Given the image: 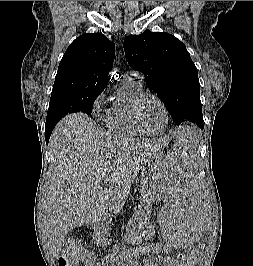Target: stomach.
<instances>
[{
	"mask_svg": "<svg viewBox=\"0 0 253 266\" xmlns=\"http://www.w3.org/2000/svg\"><path fill=\"white\" fill-rule=\"evenodd\" d=\"M163 159L161 152L150 156L142 168L140 181L141 202L138 210L133 214L126 226L124 237L133 244H141L144 238L143 230L149 224L151 218V203L156 194V186L163 185L160 163Z\"/></svg>",
	"mask_w": 253,
	"mask_h": 266,
	"instance_id": "obj_1",
	"label": "stomach"
}]
</instances>
